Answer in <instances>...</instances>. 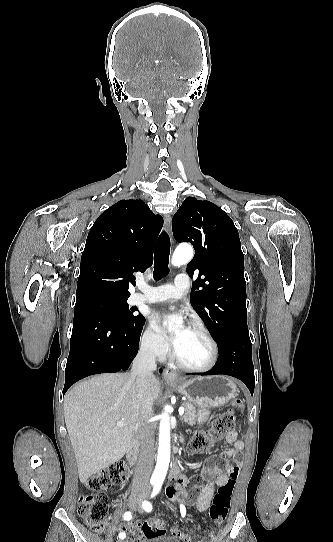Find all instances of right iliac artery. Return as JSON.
I'll use <instances>...</instances> for the list:
<instances>
[{
    "instance_id": "obj_1",
    "label": "right iliac artery",
    "mask_w": 333,
    "mask_h": 542,
    "mask_svg": "<svg viewBox=\"0 0 333 542\" xmlns=\"http://www.w3.org/2000/svg\"><path fill=\"white\" fill-rule=\"evenodd\" d=\"M123 517L125 520H130L132 518L131 512H125ZM125 537H126V534L124 532H121L119 534V538L124 539Z\"/></svg>"
}]
</instances>
